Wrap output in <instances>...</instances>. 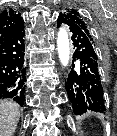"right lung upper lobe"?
<instances>
[{"label": "right lung upper lobe", "mask_w": 117, "mask_h": 136, "mask_svg": "<svg viewBox=\"0 0 117 136\" xmlns=\"http://www.w3.org/2000/svg\"><path fill=\"white\" fill-rule=\"evenodd\" d=\"M22 17L10 8L0 13V43L17 27Z\"/></svg>", "instance_id": "right-lung-upper-lobe-1"}]
</instances>
